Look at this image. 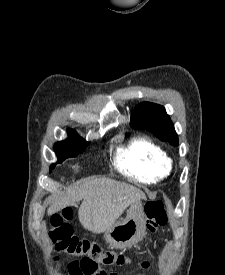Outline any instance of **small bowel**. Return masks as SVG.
I'll return each mask as SVG.
<instances>
[{
  "mask_svg": "<svg viewBox=\"0 0 225 275\" xmlns=\"http://www.w3.org/2000/svg\"><path fill=\"white\" fill-rule=\"evenodd\" d=\"M98 275H108L104 270H100V272L98 273Z\"/></svg>",
  "mask_w": 225,
  "mask_h": 275,
  "instance_id": "1",
  "label": "small bowel"
}]
</instances>
